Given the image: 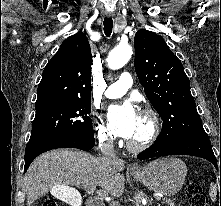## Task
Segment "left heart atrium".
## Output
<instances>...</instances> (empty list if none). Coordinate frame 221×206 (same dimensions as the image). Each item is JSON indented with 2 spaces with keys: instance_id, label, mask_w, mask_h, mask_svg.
<instances>
[{
  "instance_id": "1",
  "label": "left heart atrium",
  "mask_w": 221,
  "mask_h": 206,
  "mask_svg": "<svg viewBox=\"0 0 221 206\" xmlns=\"http://www.w3.org/2000/svg\"><path fill=\"white\" fill-rule=\"evenodd\" d=\"M107 119L114 134L131 139L136 132L139 115L132 104L124 103L110 106L107 111Z\"/></svg>"
}]
</instances>
